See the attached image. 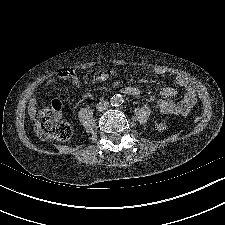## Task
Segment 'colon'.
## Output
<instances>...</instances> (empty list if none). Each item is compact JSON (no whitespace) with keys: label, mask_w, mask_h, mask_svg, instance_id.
Wrapping results in <instances>:
<instances>
[{"label":"colon","mask_w":225,"mask_h":225,"mask_svg":"<svg viewBox=\"0 0 225 225\" xmlns=\"http://www.w3.org/2000/svg\"><path fill=\"white\" fill-rule=\"evenodd\" d=\"M114 73V70H106L96 72L95 75L99 78H106ZM73 72L69 70H61L58 72V77L62 79L73 76ZM61 103L58 100L53 101L52 106L43 110L37 117V130L41 136L55 137L59 140H68L73 134L72 126L64 121H61ZM158 130H164L166 123L159 122L156 126Z\"/></svg>","instance_id":"5ec220e1"}]
</instances>
